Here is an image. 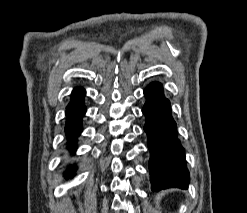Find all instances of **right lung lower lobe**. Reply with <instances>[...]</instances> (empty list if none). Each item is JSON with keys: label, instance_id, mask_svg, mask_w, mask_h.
Segmentation results:
<instances>
[{"label": "right lung lower lobe", "instance_id": "right-lung-lower-lobe-1", "mask_svg": "<svg viewBox=\"0 0 247 213\" xmlns=\"http://www.w3.org/2000/svg\"><path fill=\"white\" fill-rule=\"evenodd\" d=\"M85 91L81 88H75L72 92V99L66 108V135L68 138L69 149L74 152L75 144L71 140L76 141L78 135L82 131L81 121L86 112L84 105ZM75 167H70L66 172V176L72 177Z\"/></svg>", "mask_w": 247, "mask_h": 213}]
</instances>
